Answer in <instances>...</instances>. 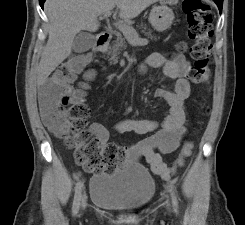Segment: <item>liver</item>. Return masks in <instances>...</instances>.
Returning a JSON list of instances; mask_svg holds the SVG:
<instances>
[{
	"label": "liver",
	"instance_id": "6515ba94",
	"mask_svg": "<svg viewBox=\"0 0 245 225\" xmlns=\"http://www.w3.org/2000/svg\"><path fill=\"white\" fill-rule=\"evenodd\" d=\"M158 1L161 0H47L44 11L48 40L37 71L38 85L70 56L77 33L98 30V16L117 7L120 18L128 21Z\"/></svg>",
	"mask_w": 245,
	"mask_h": 225
}]
</instances>
